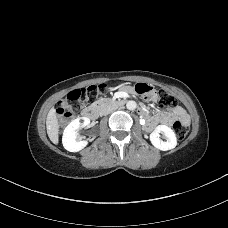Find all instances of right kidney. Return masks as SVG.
Masks as SVG:
<instances>
[{
  "label": "right kidney",
  "mask_w": 228,
  "mask_h": 228,
  "mask_svg": "<svg viewBox=\"0 0 228 228\" xmlns=\"http://www.w3.org/2000/svg\"><path fill=\"white\" fill-rule=\"evenodd\" d=\"M82 120V122H81ZM90 124V119L81 117L71 121L64 129L62 143L66 150L70 152H78L86 147L87 141H77L78 130L80 127H86Z\"/></svg>",
  "instance_id": "right-kidney-1"
}]
</instances>
